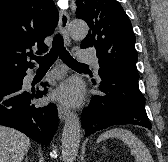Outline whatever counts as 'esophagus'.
I'll return each instance as SVG.
<instances>
[{
    "label": "esophagus",
    "mask_w": 168,
    "mask_h": 162,
    "mask_svg": "<svg viewBox=\"0 0 168 162\" xmlns=\"http://www.w3.org/2000/svg\"><path fill=\"white\" fill-rule=\"evenodd\" d=\"M68 24H69V15L66 11L61 10L60 11V19H59V27L60 31L63 34L64 40L66 44H70V37L68 33ZM70 111L67 107L59 105L58 106V116L61 122L66 120V118L69 116Z\"/></svg>",
    "instance_id": "esophagus-1"
}]
</instances>
